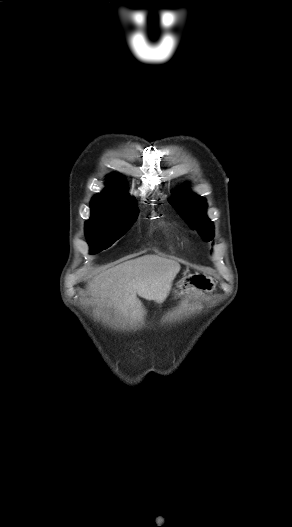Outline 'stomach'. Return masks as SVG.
Returning a JSON list of instances; mask_svg holds the SVG:
<instances>
[{
	"label": "stomach",
	"instance_id": "obj_1",
	"mask_svg": "<svg viewBox=\"0 0 292 527\" xmlns=\"http://www.w3.org/2000/svg\"><path fill=\"white\" fill-rule=\"evenodd\" d=\"M189 285L195 290H201L204 292L211 291L215 287V283L212 279L201 275H191L177 284L175 292L182 293Z\"/></svg>",
	"mask_w": 292,
	"mask_h": 527
}]
</instances>
